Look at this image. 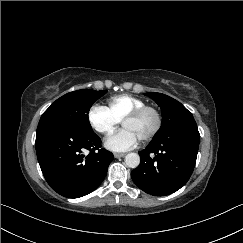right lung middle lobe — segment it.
<instances>
[{
  "label": "right lung middle lobe",
  "instance_id": "right-lung-middle-lobe-1",
  "mask_svg": "<svg viewBox=\"0 0 243 243\" xmlns=\"http://www.w3.org/2000/svg\"><path fill=\"white\" fill-rule=\"evenodd\" d=\"M106 92L83 89L65 94L42 114L37 132L52 127L93 132L88 112L93 103Z\"/></svg>",
  "mask_w": 243,
  "mask_h": 243
}]
</instances>
